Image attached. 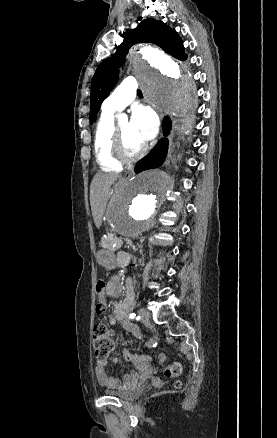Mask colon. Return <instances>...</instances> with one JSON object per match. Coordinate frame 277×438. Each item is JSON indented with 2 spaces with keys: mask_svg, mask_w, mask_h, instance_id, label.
<instances>
[{
  "mask_svg": "<svg viewBox=\"0 0 277 438\" xmlns=\"http://www.w3.org/2000/svg\"><path fill=\"white\" fill-rule=\"evenodd\" d=\"M106 283L102 277L97 278L96 292L99 300L96 303L95 310L97 313H105L108 309V305L105 301ZM93 347L95 349L97 357L101 361H107L110 353L114 348L113 332L105 324H97L93 329ZM182 373V363L180 361H174L170 366L166 367L163 371V375L166 378H173ZM173 389H188V380H173Z\"/></svg>",
  "mask_w": 277,
  "mask_h": 438,
  "instance_id": "obj_1",
  "label": "colon"
}]
</instances>
